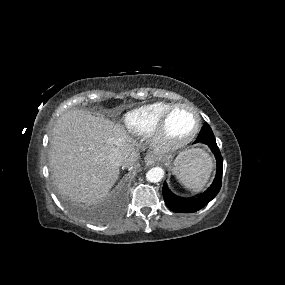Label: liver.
Wrapping results in <instances>:
<instances>
[{"mask_svg": "<svg viewBox=\"0 0 285 285\" xmlns=\"http://www.w3.org/2000/svg\"><path fill=\"white\" fill-rule=\"evenodd\" d=\"M139 146L118 124L75 109L55 124L49 152L54 183L66 196L92 205L102 201L119 177L112 156L133 168Z\"/></svg>", "mask_w": 285, "mask_h": 285, "instance_id": "obj_1", "label": "liver"}]
</instances>
